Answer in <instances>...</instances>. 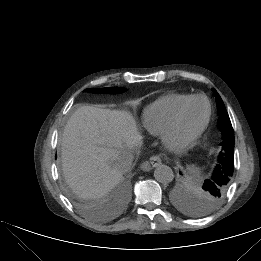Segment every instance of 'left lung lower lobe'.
<instances>
[{
	"instance_id": "obj_1",
	"label": "left lung lower lobe",
	"mask_w": 261,
	"mask_h": 261,
	"mask_svg": "<svg viewBox=\"0 0 261 261\" xmlns=\"http://www.w3.org/2000/svg\"><path fill=\"white\" fill-rule=\"evenodd\" d=\"M220 163H221V166L222 167H224V169L228 172V173H230V174H232L233 175V171H234V164H233V162H231V161H225L223 158H221L220 157V161H219Z\"/></svg>"
}]
</instances>
